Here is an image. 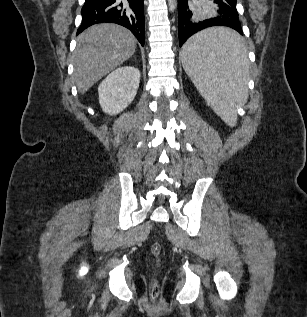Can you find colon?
<instances>
[{
    "label": "colon",
    "instance_id": "obj_1",
    "mask_svg": "<svg viewBox=\"0 0 307 317\" xmlns=\"http://www.w3.org/2000/svg\"><path fill=\"white\" fill-rule=\"evenodd\" d=\"M151 251L152 253L155 255V256H158L160 251H161V245L159 243H154L152 245V248H151ZM151 294L152 295H157L158 294V283L156 280H154L152 283H151Z\"/></svg>",
    "mask_w": 307,
    "mask_h": 317
}]
</instances>
